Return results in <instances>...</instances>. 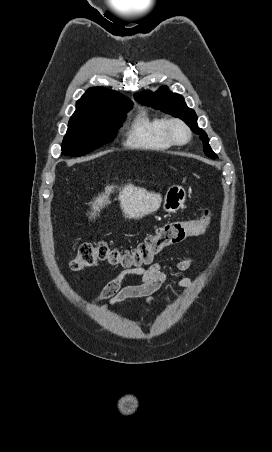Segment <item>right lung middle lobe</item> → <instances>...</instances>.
Wrapping results in <instances>:
<instances>
[{
	"label": "right lung middle lobe",
	"mask_w": 272,
	"mask_h": 452,
	"mask_svg": "<svg viewBox=\"0 0 272 452\" xmlns=\"http://www.w3.org/2000/svg\"><path fill=\"white\" fill-rule=\"evenodd\" d=\"M132 104H122L80 120L69 121L61 150L63 155L82 156L111 142Z\"/></svg>",
	"instance_id": "right-lung-middle-lobe-1"
}]
</instances>
